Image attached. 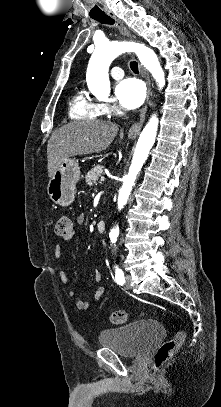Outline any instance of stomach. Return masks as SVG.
<instances>
[{
  "mask_svg": "<svg viewBox=\"0 0 221 407\" xmlns=\"http://www.w3.org/2000/svg\"><path fill=\"white\" fill-rule=\"evenodd\" d=\"M80 175V167L75 159L64 160L49 180L47 192L50 199L57 205L69 206L75 199Z\"/></svg>",
  "mask_w": 221,
  "mask_h": 407,
  "instance_id": "1",
  "label": "stomach"
}]
</instances>
